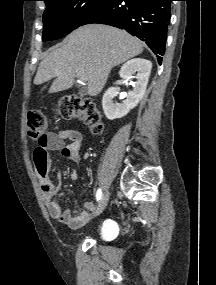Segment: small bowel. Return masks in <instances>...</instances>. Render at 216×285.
Here are the masks:
<instances>
[{"mask_svg":"<svg viewBox=\"0 0 216 285\" xmlns=\"http://www.w3.org/2000/svg\"><path fill=\"white\" fill-rule=\"evenodd\" d=\"M66 141L70 143L66 145ZM82 142L83 135L80 131L61 129L49 133L46 146L43 149L37 147L34 152V163L38 178L42 184V195L48 212L53 219L71 229H77L86 224L91 217V211L95 207L92 202H85V211L77 216H73L70 209H64L59 202L54 200V196L61 190L62 184L60 180L57 183H52L49 179L51 166L49 152H61L65 157L78 161L80 159L79 152Z\"/></svg>","mask_w":216,"mask_h":285,"instance_id":"c3829d8e","label":"small bowel"}]
</instances>
